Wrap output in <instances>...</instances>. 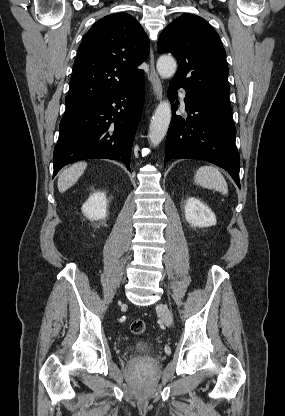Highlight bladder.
Segmentation results:
<instances>
[{
  "label": "bladder",
  "instance_id": "obj_1",
  "mask_svg": "<svg viewBox=\"0 0 285 416\" xmlns=\"http://www.w3.org/2000/svg\"><path fill=\"white\" fill-rule=\"evenodd\" d=\"M155 348V343L144 339L134 344L133 350L135 355H151Z\"/></svg>",
  "mask_w": 285,
  "mask_h": 416
}]
</instances>
